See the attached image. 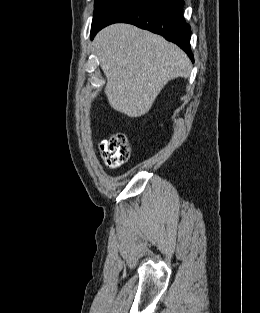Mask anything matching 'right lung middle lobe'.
<instances>
[{
	"label": "right lung middle lobe",
	"instance_id": "1",
	"mask_svg": "<svg viewBox=\"0 0 260 313\" xmlns=\"http://www.w3.org/2000/svg\"><path fill=\"white\" fill-rule=\"evenodd\" d=\"M119 0H95V11L91 29L98 23L100 18Z\"/></svg>",
	"mask_w": 260,
	"mask_h": 313
}]
</instances>
